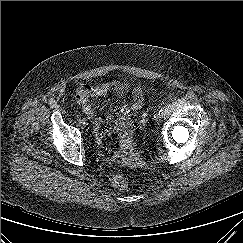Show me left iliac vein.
I'll use <instances>...</instances> for the list:
<instances>
[{
  "instance_id": "4c4485c4",
  "label": "left iliac vein",
  "mask_w": 243,
  "mask_h": 243,
  "mask_svg": "<svg viewBox=\"0 0 243 243\" xmlns=\"http://www.w3.org/2000/svg\"><path fill=\"white\" fill-rule=\"evenodd\" d=\"M154 118L156 121H159L161 119V115H159V113H156Z\"/></svg>"
}]
</instances>
